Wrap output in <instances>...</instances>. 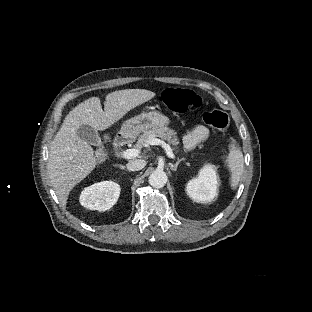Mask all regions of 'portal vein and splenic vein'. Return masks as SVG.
I'll list each match as a JSON object with an SVG mask.
<instances>
[{
    "label": "portal vein and splenic vein",
    "mask_w": 312,
    "mask_h": 312,
    "mask_svg": "<svg viewBox=\"0 0 312 312\" xmlns=\"http://www.w3.org/2000/svg\"><path fill=\"white\" fill-rule=\"evenodd\" d=\"M151 145H161L165 151L166 154L169 158H175V155L172 152L171 147L166 144L164 141L158 139V138H154L151 143ZM140 154V150L139 149H127L126 151L123 152V158L125 159H131L134 157H137Z\"/></svg>",
    "instance_id": "obj_1"
}]
</instances>
